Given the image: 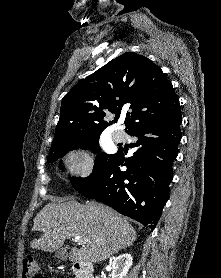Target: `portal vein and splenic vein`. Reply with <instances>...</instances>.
<instances>
[{
  "mask_svg": "<svg viewBox=\"0 0 221 278\" xmlns=\"http://www.w3.org/2000/svg\"><path fill=\"white\" fill-rule=\"evenodd\" d=\"M76 242H78L79 244H83L85 242V240L81 239L80 237H75L74 239Z\"/></svg>",
  "mask_w": 221,
  "mask_h": 278,
  "instance_id": "1",
  "label": "portal vein and splenic vein"
}]
</instances>
